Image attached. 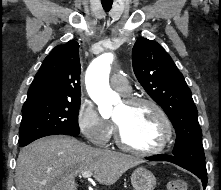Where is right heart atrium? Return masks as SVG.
<instances>
[{
  "label": "right heart atrium",
  "instance_id": "right-heart-atrium-1",
  "mask_svg": "<svg viewBox=\"0 0 221 190\" xmlns=\"http://www.w3.org/2000/svg\"><path fill=\"white\" fill-rule=\"evenodd\" d=\"M77 125L84 137L92 144L105 147L113 135V125L103 118L95 105L82 100L77 111Z\"/></svg>",
  "mask_w": 221,
  "mask_h": 190
}]
</instances>
